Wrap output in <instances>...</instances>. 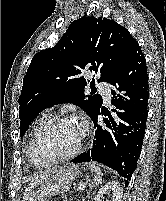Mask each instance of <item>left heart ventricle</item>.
I'll return each instance as SVG.
<instances>
[{
    "mask_svg": "<svg viewBox=\"0 0 166 201\" xmlns=\"http://www.w3.org/2000/svg\"><path fill=\"white\" fill-rule=\"evenodd\" d=\"M83 130L74 121H60L46 126L35 144V155L40 163L73 151L80 143Z\"/></svg>",
    "mask_w": 166,
    "mask_h": 201,
    "instance_id": "left-heart-ventricle-1",
    "label": "left heart ventricle"
}]
</instances>
